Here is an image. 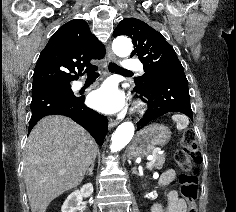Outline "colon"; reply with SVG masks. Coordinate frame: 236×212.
<instances>
[{
  "mask_svg": "<svg viewBox=\"0 0 236 212\" xmlns=\"http://www.w3.org/2000/svg\"><path fill=\"white\" fill-rule=\"evenodd\" d=\"M175 160L181 171L179 176L180 191L188 203V212H198L196 206L198 196L197 166L201 163L202 156L193 132L188 131L183 136L181 146L176 151Z\"/></svg>",
  "mask_w": 236,
  "mask_h": 212,
  "instance_id": "obj_1",
  "label": "colon"
}]
</instances>
